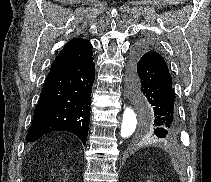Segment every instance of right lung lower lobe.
<instances>
[{
	"label": "right lung lower lobe",
	"mask_w": 211,
	"mask_h": 182,
	"mask_svg": "<svg viewBox=\"0 0 211 182\" xmlns=\"http://www.w3.org/2000/svg\"><path fill=\"white\" fill-rule=\"evenodd\" d=\"M92 45L76 38L65 44L51 65L26 141L52 131H69L85 145L90 123V95L95 79Z\"/></svg>",
	"instance_id": "right-lung-lower-lobe-1"
}]
</instances>
